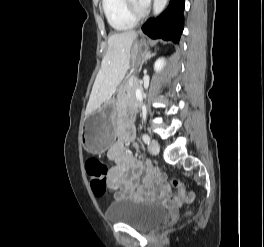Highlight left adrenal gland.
Returning <instances> with one entry per match:
<instances>
[{
  "label": "left adrenal gland",
  "mask_w": 264,
  "mask_h": 247,
  "mask_svg": "<svg viewBox=\"0 0 264 247\" xmlns=\"http://www.w3.org/2000/svg\"><path fill=\"white\" fill-rule=\"evenodd\" d=\"M154 55H156V53H151L150 51H146L143 55V63H146L147 60H149L151 57H153Z\"/></svg>",
  "instance_id": "a2214340"
}]
</instances>
